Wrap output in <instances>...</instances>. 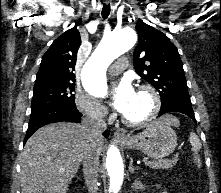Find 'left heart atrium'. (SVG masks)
<instances>
[{
  "label": "left heart atrium",
  "mask_w": 221,
  "mask_h": 193,
  "mask_svg": "<svg viewBox=\"0 0 221 193\" xmlns=\"http://www.w3.org/2000/svg\"><path fill=\"white\" fill-rule=\"evenodd\" d=\"M135 96L136 91L131 82L122 80L112 90V104L118 112L125 114L132 105Z\"/></svg>",
  "instance_id": "1"
}]
</instances>
